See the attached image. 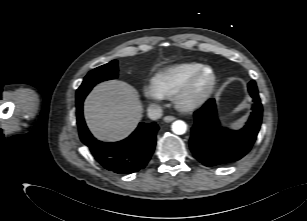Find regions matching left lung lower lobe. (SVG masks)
Here are the masks:
<instances>
[{
	"instance_id": "obj_1",
	"label": "left lung lower lobe",
	"mask_w": 307,
	"mask_h": 221,
	"mask_svg": "<svg viewBox=\"0 0 307 221\" xmlns=\"http://www.w3.org/2000/svg\"><path fill=\"white\" fill-rule=\"evenodd\" d=\"M254 108L247 124L238 131L220 126L214 99L194 113L195 124L189 141L194 157L207 167L236 162L253 146L262 121V104L254 83L248 86Z\"/></svg>"
}]
</instances>
